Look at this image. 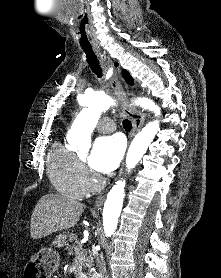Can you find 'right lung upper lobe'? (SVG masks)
<instances>
[{
    "label": "right lung upper lobe",
    "mask_w": 221,
    "mask_h": 278,
    "mask_svg": "<svg viewBox=\"0 0 221 278\" xmlns=\"http://www.w3.org/2000/svg\"><path fill=\"white\" fill-rule=\"evenodd\" d=\"M123 73V77L125 78V80L129 83V84H133V79L132 77L129 75V73L125 70L122 71Z\"/></svg>",
    "instance_id": "cb5924a9"
}]
</instances>
